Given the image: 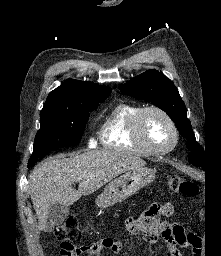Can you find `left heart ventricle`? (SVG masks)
I'll list each match as a JSON object with an SVG mask.
<instances>
[{
    "mask_svg": "<svg viewBox=\"0 0 221 256\" xmlns=\"http://www.w3.org/2000/svg\"><path fill=\"white\" fill-rule=\"evenodd\" d=\"M143 135L147 142L157 149L166 148L173 141V133L168 122L155 112H150L145 116Z\"/></svg>",
    "mask_w": 221,
    "mask_h": 256,
    "instance_id": "left-heart-ventricle-1",
    "label": "left heart ventricle"
}]
</instances>
